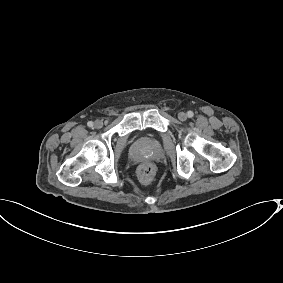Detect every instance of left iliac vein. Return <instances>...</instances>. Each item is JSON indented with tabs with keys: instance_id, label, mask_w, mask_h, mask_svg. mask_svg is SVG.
Segmentation results:
<instances>
[{
	"instance_id": "left-iliac-vein-1",
	"label": "left iliac vein",
	"mask_w": 283,
	"mask_h": 283,
	"mask_svg": "<svg viewBox=\"0 0 283 283\" xmlns=\"http://www.w3.org/2000/svg\"><path fill=\"white\" fill-rule=\"evenodd\" d=\"M178 118L180 121H185L187 119V114L184 112L178 113Z\"/></svg>"
}]
</instances>
